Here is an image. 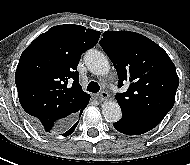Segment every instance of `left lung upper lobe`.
I'll return each mask as SVG.
<instances>
[{"label": "left lung upper lobe", "instance_id": "obj_1", "mask_svg": "<svg viewBox=\"0 0 190 165\" xmlns=\"http://www.w3.org/2000/svg\"><path fill=\"white\" fill-rule=\"evenodd\" d=\"M117 70L122 87L116 94L122 112L163 119L172 109L179 85L175 65L168 54L149 38L130 31H107L100 40Z\"/></svg>", "mask_w": 190, "mask_h": 165}]
</instances>
